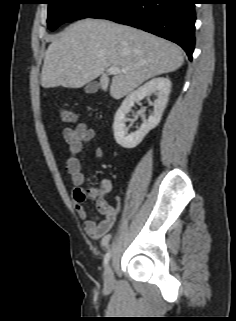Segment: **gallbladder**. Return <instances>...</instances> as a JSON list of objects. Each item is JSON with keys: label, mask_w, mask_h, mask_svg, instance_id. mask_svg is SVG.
<instances>
[{"label": "gallbladder", "mask_w": 236, "mask_h": 321, "mask_svg": "<svg viewBox=\"0 0 236 321\" xmlns=\"http://www.w3.org/2000/svg\"><path fill=\"white\" fill-rule=\"evenodd\" d=\"M98 87H99L98 83L95 81H92L86 85L84 90L88 94H93L98 90Z\"/></svg>", "instance_id": "bac80fb5"}]
</instances>
